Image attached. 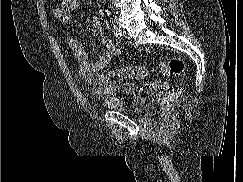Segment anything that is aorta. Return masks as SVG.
I'll list each match as a JSON object with an SVG mask.
<instances>
[{
    "label": "aorta",
    "mask_w": 243,
    "mask_h": 182,
    "mask_svg": "<svg viewBox=\"0 0 243 182\" xmlns=\"http://www.w3.org/2000/svg\"><path fill=\"white\" fill-rule=\"evenodd\" d=\"M103 1H105V0H103ZM107 14L109 15V12L107 11Z\"/></svg>",
    "instance_id": "obj_1"
}]
</instances>
